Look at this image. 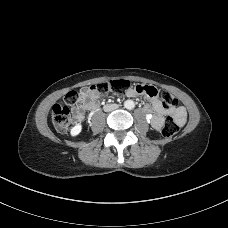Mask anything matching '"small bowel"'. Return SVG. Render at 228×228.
<instances>
[{
    "instance_id": "c3829d8e",
    "label": "small bowel",
    "mask_w": 228,
    "mask_h": 228,
    "mask_svg": "<svg viewBox=\"0 0 228 228\" xmlns=\"http://www.w3.org/2000/svg\"><path fill=\"white\" fill-rule=\"evenodd\" d=\"M79 93L80 99L74 109L76 121L81 123L84 120V113L86 111H92L97 108L100 91L92 85L82 88ZM137 95L138 93L132 88L126 91L127 97L133 98ZM152 106L157 114L152 117L151 123L154 129L160 130L164 124L163 114L165 113V109L158 98L152 99ZM172 113L179 124L182 125L185 123L187 114L184 107H177L172 110Z\"/></svg>"
}]
</instances>
